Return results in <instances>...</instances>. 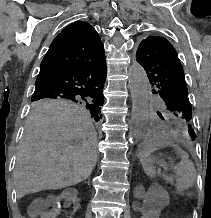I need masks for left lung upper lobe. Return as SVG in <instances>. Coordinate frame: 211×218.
Wrapping results in <instances>:
<instances>
[{
    "mask_svg": "<svg viewBox=\"0 0 211 218\" xmlns=\"http://www.w3.org/2000/svg\"><path fill=\"white\" fill-rule=\"evenodd\" d=\"M136 60L147 73L152 93L161 98L156 105L157 115L175 135L193 141L192 108L174 47L163 37L149 36L140 43Z\"/></svg>",
    "mask_w": 211,
    "mask_h": 218,
    "instance_id": "1",
    "label": "left lung upper lobe"
}]
</instances>
